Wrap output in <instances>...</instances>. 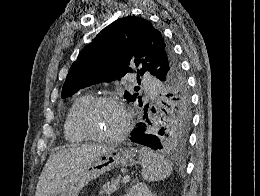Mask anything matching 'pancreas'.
I'll return each mask as SVG.
<instances>
[{"label": "pancreas", "instance_id": "cf45deb5", "mask_svg": "<svg viewBox=\"0 0 260 196\" xmlns=\"http://www.w3.org/2000/svg\"><path fill=\"white\" fill-rule=\"evenodd\" d=\"M121 180L122 176H118V178H114L112 182H107V184H104L103 188H101L99 192V196H111L113 192L119 190Z\"/></svg>", "mask_w": 260, "mask_h": 196}]
</instances>
